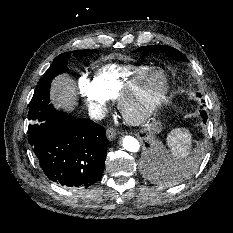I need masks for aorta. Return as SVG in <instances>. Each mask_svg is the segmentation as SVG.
I'll use <instances>...</instances> for the list:
<instances>
[{
  "label": "aorta",
  "instance_id": "762f6f07",
  "mask_svg": "<svg viewBox=\"0 0 233 233\" xmlns=\"http://www.w3.org/2000/svg\"><path fill=\"white\" fill-rule=\"evenodd\" d=\"M122 145L129 152H138L140 149L138 140L132 136H125L122 139Z\"/></svg>",
  "mask_w": 233,
  "mask_h": 233
}]
</instances>
